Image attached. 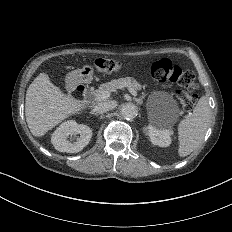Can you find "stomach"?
I'll return each mask as SVG.
<instances>
[{
  "instance_id": "stomach-1",
  "label": "stomach",
  "mask_w": 232,
  "mask_h": 232,
  "mask_svg": "<svg viewBox=\"0 0 232 232\" xmlns=\"http://www.w3.org/2000/svg\"><path fill=\"white\" fill-rule=\"evenodd\" d=\"M79 73L81 74V77L86 78V82H90L92 80L93 68L86 65L79 71Z\"/></svg>"
}]
</instances>
